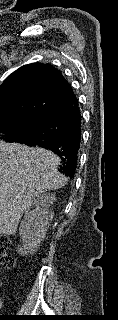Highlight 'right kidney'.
Here are the masks:
<instances>
[{"mask_svg": "<svg viewBox=\"0 0 118 320\" xmlns=\"http://www.w3.org/2000/svg\"><path fill=\"white\" fill-rule=\"evenodd\" d=\"M55 201L54 193H42L33 202L32 209L25 212L19 227L23 251L36 250L44 240L54 217L52 205Z\"/></svg>", "mask_w": 118, "mask_h": 320, "instance_id": "right-kidney-1", "label": "right kidney"}]
</instances>
